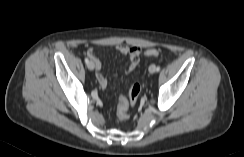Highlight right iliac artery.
<instances>
[{"instance_id": "1", "label": "right iliac artery", "mask_w": 244, "mask_h": 157, "mask_svg": "<svg viewBox=\"0 0 244 157\" xmlns=\"http://www.w3.org/2000/svg\"><path fill=\"white\" fill-rule=\"evenodd\" d=\"M85 63H86V64H88V63H89V60H88V58H87V57L85 58Z\"/></svg>"}]
</instances>
